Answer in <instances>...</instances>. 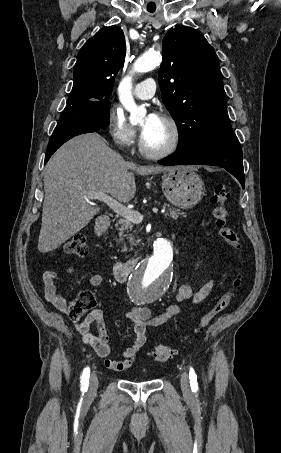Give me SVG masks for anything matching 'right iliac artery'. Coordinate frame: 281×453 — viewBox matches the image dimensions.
<instances>
[{
    "label": "right iliac artery",
    "mask_w": 281,
    "mask_h": 453,
    "mask_svg": "<svg viewBox=\"0 0 281 453\" xmlns=\"http://www.w3.org/2000/svg\"><path fill=\"white\" fill-rule=\"evenodd\" d=\"M90 369L89 367L85 368L82 376H81V391H87L88 383H89V376H90Z\"/></svg>",
    "instance_id": "82829eb1"
}]
</instances>
